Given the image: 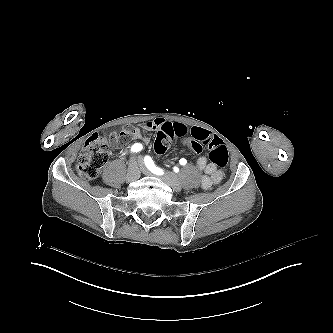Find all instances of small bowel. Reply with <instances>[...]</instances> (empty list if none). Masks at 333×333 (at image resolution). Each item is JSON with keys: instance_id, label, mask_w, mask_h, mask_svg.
Here are the masks:
<instances>
[{"instance_id": "small-bowel-1", "label": "small bowel", "mask_w": 333, "mask_h": 333, "mask_svg": "<svg viewBox=\"0 0 333 333\" xmlns=\"http://www.w3.org/2000/svg\"><path fill=\"white\" fill-rule=\"evenodd\" d=\"M173 126L167 120L158 117L153 120L142 122L138 127L132 128L133 134L129 136L136 143L148 144L150 139L142 135V131H160L165 127ZM185 132L188 130L186 127L183 129ZM127 131V130H126ZM192 137H210V133L200 128H193L191 130ZM197 167L204 172L201 179V186L204 190H208L213 186L220 183L223 174L219 171L214 164L208 163L207 159L203 156L197 160Z\"/></svg>"}]
</instances>
